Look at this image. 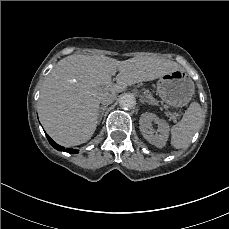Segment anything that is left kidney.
<instances>
[{"instance_id": "1", "label": "left kidney", "mask_w": 229, "mask_h": 229, "mask_svg": "<svg viewBox=\"0 0 229 229\" xmlns=\"http://www.w3.org/2000/svg\"><path fill=\"white\" fill-rule=\"evenodd\" d=\"M152 122L157 124V134H154ZM140 130L146 140L158 147L163 148L168 138V124L165 121L158 119L155 115L144 113L139 120Z\"/></svg>"}]
</instances>
